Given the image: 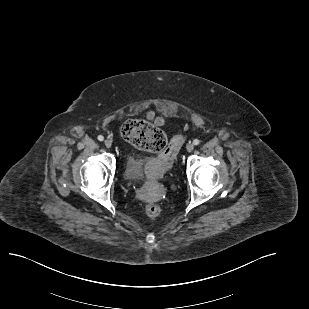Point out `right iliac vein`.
Returning <instances> with one entry per match:
<instances>
[{
  "label": "right iliac vein",
  "instance_id": "right-iliac-vein-1",
  "mask_svg": "<svg viewBox=\"0 0 309 309\" xmlns=\"http://www.w3.org/2000/svg\"><path fill=\"white\" fill-rule=\"evenodd\" d=\"M104 144L107 148H110L112 146V142L110 140H105Z\"/></svg>",
  "mask_w": 309,
  "mask_h": 309
}]
</instances>
